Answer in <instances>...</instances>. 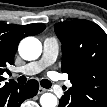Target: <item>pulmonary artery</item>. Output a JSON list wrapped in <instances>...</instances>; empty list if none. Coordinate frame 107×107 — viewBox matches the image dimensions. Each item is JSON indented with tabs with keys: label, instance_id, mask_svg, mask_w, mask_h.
Listing matches in <instances>:
<instances>
[{
	"label": "pulmonary artery",
	"instance_id": "e3ab8cb5",
	"mask_svg": "<svg viewBox=\"0 0 107 107\" xmlns=\"http://www.w3.org/2000/svg\"><path fill=\"white\" fill-rule=\"evenodd\" d=\"M59 52V44L55 38H46L43 42V53L40 60L28 63L19 69L25 75H33L55 62Z\"/></svg>",
	"mask_w": 107,
	"mask_h": 107
}]
</instances>
